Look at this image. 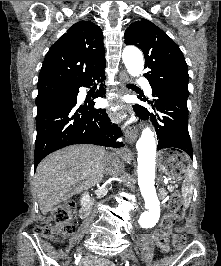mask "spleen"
I'll list each match as a JSON object with an SVG mask.
<instances>
[{
  "mask_svg": "<svg viewBox=\"0 0 221 266\" xmlns=\"http://www.w3.org/2000/svg\"><path fill=\"white\" fill-rule=\"evenodd\" d=\"M192 181H193V172L190 169L187 178L184 181L183 187H182V193H183V197H184V203L186 205H189L191 197L190 195L193 192V185H192Z\"/></svg>",
  "mask_w": 221,
  "mask_h": 266,
  "instance_id": "obj_1",
  "label": "spleen"
}]
</instances>
